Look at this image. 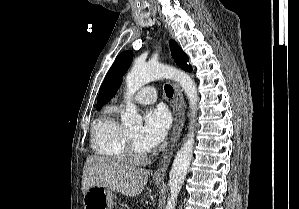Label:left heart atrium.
<instances>
[{"instance_id": "left-heart-atrium-1", "label": "left heart atrium", "mask_w": 299, "mask_h": 209, "mask_svg": "<svg viewBox=\"0 0 299 209\" xmlns=\"http://www.w3.org/2000/svg\"><path fill=\"white\" fill-rule=\"evenodd\" d=\"M170 116L163 107L151 108L144 116L139 142L149 151L160 144L170 127Z\"/></svg>"}]
</instances>
